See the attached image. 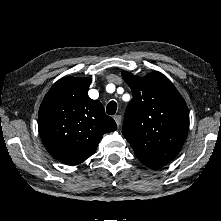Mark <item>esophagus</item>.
I'll list each match as a JSON object with an SVG mask.
<instances>
[{"mask_svg": "<svg viewBox=\"0 0 221 221\" xmlns=\"http://www.w3.org/2000/svg\"><path fill=\"white\" fill-rule=\"evenodd\" d=\"M114 120H115L117 126H120V125H121V121H122L121 115H116V116H114Z\"/></svg>", "mask_w": 221, "mask_h": 221, "instance_id": "obj_1", "label": "esophagus"}]
</instances>
